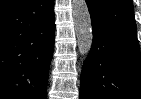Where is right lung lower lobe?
Masks as SVG:
<instances>
[{
  "instance_id": "obj_1",
  "label": "right lung lower lobe",
  "mask_w": 141,
  "mask_h": 99,
  "mask_svg": "<svg viewBox=\"0 0 141 99\" xmlns=\"http://www.w3.org/2000/svg\"><path fill=\"white\" fill-rule=\"evenodd\" d=\"M54 35V0L0 10V99H46Z\"/></svg>"
}]
</instances>
